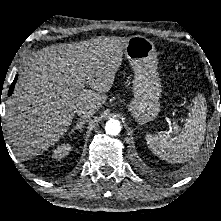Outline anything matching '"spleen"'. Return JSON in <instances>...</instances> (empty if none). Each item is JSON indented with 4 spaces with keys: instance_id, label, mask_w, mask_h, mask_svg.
Segmentation results:
<instances>
[{
    "instance_id": "3e777b00",
    "label": "spleen",
    "mask_w": 221,
    "mask_h": 221,
    "mask_svg": "<svg viewBox=\"0 0 221 221\" xmlns=\"http://www.w3.org/2000/svg\"><path fill=\"white\" fill-rule=\"evenodd\" d=\"M193 103L180 133L146 135L153 154L170 163H185L199 152L205 138L207 108L202 96Z\"/></svg>"
}]
</instances>
